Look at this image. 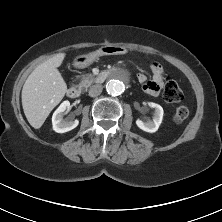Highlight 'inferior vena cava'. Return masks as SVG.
Masks as SVG:
<instances>
[{
  "label": "inferior vena cava",
  "mask_w": 222,
  "mask_h": 222,
  "mask_svg": "<svg viewBox=\"0 0 222 222\" xmlns=\"http://www.w3.org/2000/svg\"><path fill=\"white\" fill-rule=\"evenodd\" d=\"M103 86L101 84L92 85L89 89V96L96 97L101 94Z\"/></svg>",
  "instance_id": "obj_1"
}]
</instances>
